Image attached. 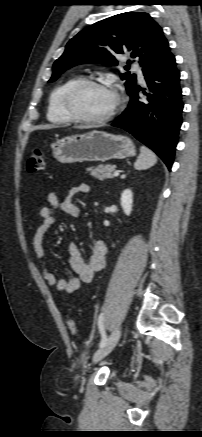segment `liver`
Here are the masks:
<instances>
[{"mask_svg":"<svg viewBox=\"0 0 202 437\" xmlns=\"http://www.w3.org/2000/svg\"><path fill=\"white\" fill-rule=\"evenodd\" d=\"M78 128L82 129V128H86V127H78Z\"/></svg>","mask_w":202,"mask_h":437,"instance_id":"obj_1","label":"liver"}]
</instances>
